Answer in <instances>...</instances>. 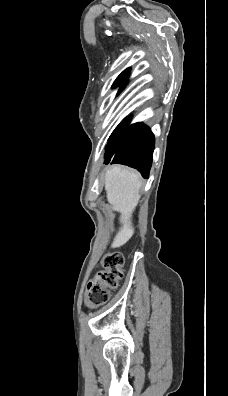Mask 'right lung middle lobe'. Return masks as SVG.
I'll use <instances>...</instances> for the list:
<instances>
[{
  "label": "right lung middle lobe",
  "instance_id": "dd1d6c3e",
  "mask_svg": "<svg viewBox=\"0 0 228 396\" xmlns=\"http://www.w3.org/2000/svg\"><path fill=\"white\" fill-rule=\"evenodd\" d=\"M127 76H128V75H127ZM127 76L118 77V78L116 79V81L114 82V84H113L112 87H117L118 85L121 84V87H120V89H119V91H118V94L124 89V87H125V85H126V77H127ZM118 94H117V95H118Z\"/></svg>",
  "mask_w": 228,
  "mask_h": 396
}]
</instances>
